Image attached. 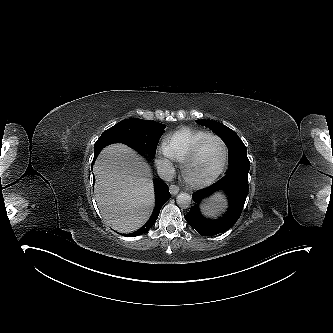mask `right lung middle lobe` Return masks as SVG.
<instances>
[{
    "instance_id": "1",
    "label": "right lung middle lobe",
    "mask_w": 333,
    "mask_h": 333,
    "mask_svg": "<svg viewBox=\"0 0 333 333\" xmlns=\"http://www.w3.org/2000/svg\"><path fill=\"white\" fill-rule=\"evenodd\" d=\"M164 128V124L156 121L132 118L122 120L106 131L126 137L137 150L154 158L159 138L165 131Z\"/></svg>"
}]
</instances>
